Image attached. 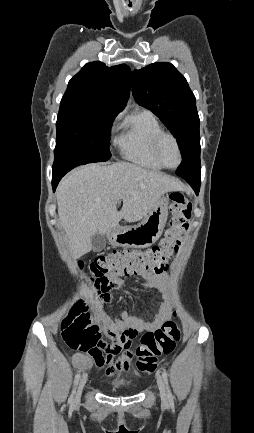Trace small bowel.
I'll return each mask as SVG.
<instances>
[{
    "instance_id": "c3829d8e",
    "label": "small bowel",
    "mask_w": 254,
    "mask_h": 433,
    "mask_svg": "<svg viewBox=\"0 0 254 433\" xmlns=\"http://www.w3.org/2000/svg\"><path fill=\"white\" fill-rule=\"evenodd\" d=\"M163 272V271H162ZM160 272V273H162ZM157 274H141L148 282L157 286L162 292L166 290L165 285L157 280ZM124 286V281L120 277H115L106 286L104 290H100L99 299H108V293L112 289H120ZM99 291V290H98ZM172 314L171 306L167 301H164L155 318L146 322L141 317L130 315L126 311L119 312L113 318L103 317L101 319L102 331L109 335L112 343H100L93 355L76 353L73 357L76 367L81 371L90 369L93 365L105 367L108 376H116L121 373H126L129 370L131 360L133 358V340L142 332L153 331L160 327ZM99 331L97 329V335ZM114 358H116L113 363Z\"/></svg>"
}]
</instances>
